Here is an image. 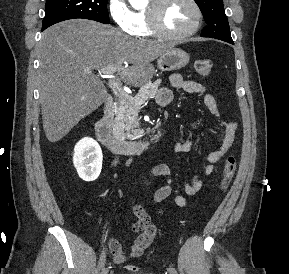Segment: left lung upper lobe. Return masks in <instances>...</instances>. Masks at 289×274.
<instances>
[{
    "label": "left lung upper lobe",
    "mask_w": 289,
    "mask_h": 274,
    "mask_svg": "<svg viewBox=\"0 0 289 274\" xmlns=\"http://www.w3.org/2000/svg\"><path fill=\"white\" fill-rule=\"evenodd\" d=\"M205 22L201 36L216 38L223 41L232 40L228 19L225 15L223 0H195Z\"/></svg>",
    "instance_id": "obj_1"
}]
</instances>
